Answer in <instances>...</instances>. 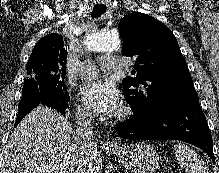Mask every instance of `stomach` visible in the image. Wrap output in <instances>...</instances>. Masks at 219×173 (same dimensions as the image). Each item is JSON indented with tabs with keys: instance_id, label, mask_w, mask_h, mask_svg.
<instances>
[{
	"instance_id": "0dacf381",
	"label": "stomach",
	"mask_w": 219,
	"mask_h": 173,
	"mask_svg": "<svg viewBox=\"0 0 219 173\" xmlns=\"http://www.w3.org/2000/svg\"><path fill=\"white\" fill-rule=\"evenodd\" d=\"M115 154L124 167L132 173H154L159 166L157 151L145 142L117 146Z\"/></svg>"
}]
</instances>
